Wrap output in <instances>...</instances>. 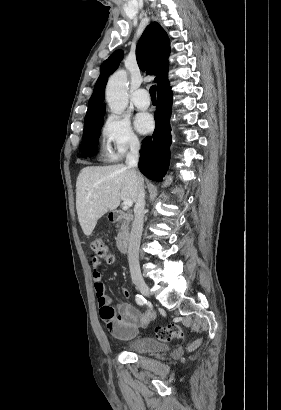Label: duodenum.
Listing matches in <instances>:
<instances>
[{
  "mask_svg": "<svg viewBox=\"0 0 281 410\" xmlns=\"http://www.w3.org/2000/svg\"><path fill=\"white\" fill-rule=\"evenodd\" d=\"M130 215L120 211V210H113L110 214V219L113 222L122 220V219H129ZM128 247H129V235L128 234H124L121 236L120 240H119V249L121 251V253L125 254L128 251Z\"/></svg>",
  "mask_w": 281,
  "mask_h": 410,
  "instance_id": "410a0bca",
  "label": "duodenum"
}]
</instances>
